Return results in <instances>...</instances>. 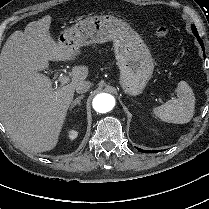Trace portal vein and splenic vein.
<instances>
[{"label":"portal vein and splenic vein","mask_w":209,"mask_h":209,"mask_svg":"<svg viewBox=\"0 0 209 209\" xmlns=\"http://www.w3.org/2000/svg\"><path fill=\"white\" fill-rule=\"evenodd\" d=\"M58 81L62 84H67L70 81V78L68 76H65V75H60L58 77Z\"/></svg>","instance_id":"1"}]
</instances>
